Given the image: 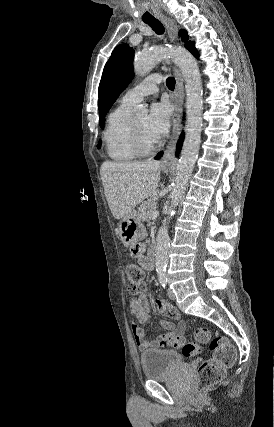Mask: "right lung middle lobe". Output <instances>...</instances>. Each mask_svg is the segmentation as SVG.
<instances>
[{
	"label": "right lung middle lobe",
	"mask_w": 274,
	"mask_h": 427,
	"mask_svg": "<svg viewBox=\"0 0 274 427\" xmlns=\"http://www.w3.org/2000/svg\"><path fill=\"white\" fill-rule=\"evenodd\" d=\"M100 144H101V142L99 143L98 148H100Z\"/></svg>",
	"instance_id": "obj_1"
}]
</instances>
